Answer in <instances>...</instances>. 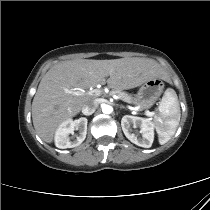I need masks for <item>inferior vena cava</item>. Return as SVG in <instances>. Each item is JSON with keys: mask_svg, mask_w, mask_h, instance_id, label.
Masks as SVG:
<instances>
[{"mask_svg": "<svg viewBox=\"0 0 210 210\" xmlns=\"http://www.w3.org/2000/svg\"><path fill=\"white\" fill-rule=\"evenodd\" d=\"M98 107V104L96 101L92 100L84 104L82 107V113L86 116L91 115L95 112L96 108Z\"/></svg>", "mask_w": 210, "mask_h": 210, "instance_id": "1", "label": "inferior vena cava"}]
</instances>
